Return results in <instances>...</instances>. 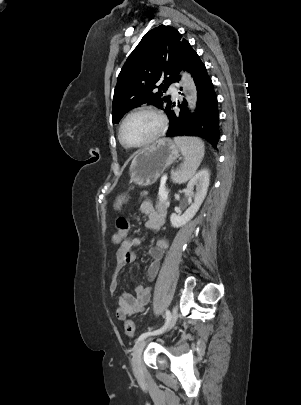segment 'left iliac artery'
Masks as SVG:
<instances>
[{"label":"left iliac artery","mask_w":301,"mask_h":405,"mask_svg":"<svg viewBox=\"0 0 301 405\" xmlns=\"http://www.w3.org/2000/svg\"><path fill=\"white\" fill-rule=\"evenodd\" d=\"M170 320H171V313H170L169 310H166V321H165V324H164L161 328H159V329H157V330H155V331H152V332H151V331H148V332H145V333L141 334V335L138 337L136 343H139L140 341L144 340L146 337H148V336H150V335H157V334L162 333V332H163L164 330H166V328L168 327V325H169V323H170Z\"/></svg>","instance_id":"44dca946"}]
</instances>
